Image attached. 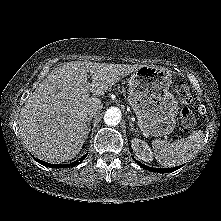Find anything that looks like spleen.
<instances>
[{
	"instance_id": "1",
	"label": "spleen",
	"mask_w": 221,
	"mask_h": 221,
	"mask_svg": "<svg viewBox=\"0 0 221 221\" xmlns=\"http://www.w3.org/2000/svg\"><path fill=\"white\" fill-rule=\"evenodd\" d=\"M203 140L204 133L198 130L187 138H182L173 143L155 140L152 142V147L159 164L165 167H173L192 159L198 152Z\"/></svg>"
}]
</instances>
